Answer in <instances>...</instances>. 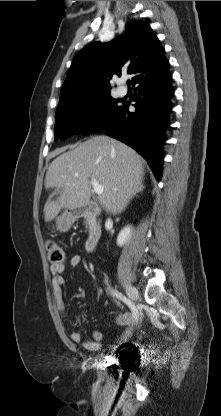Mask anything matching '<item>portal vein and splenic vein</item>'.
I'll return each mask as SVG.
<instances>
[{
    "label": "portal vein and splenic vein",
    "instance_id": "18ae733b",
    "mask_svg": "<svg viewBox=\"0 0 221 416\" xmlns=\"http://www.w3.org/2000/svg\"><path fill=\"white\" fill-rule=\"evenodd\" d=\"M91 184H92V186L94 188V191L97 195H102L103 194L104 188H103L102 185L99 184V182L96 179L92 178L91 179Z\"/></svg>",
    "mask_w": 221,
    "mask_h": 416
}]
</instances>
